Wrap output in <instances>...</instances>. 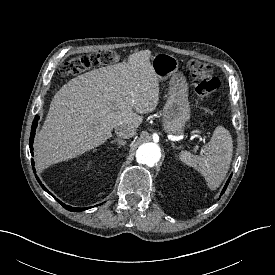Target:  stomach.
<instances>
[{
	"mask_svg": "<svg viewBox=\"0 0 275 275\" xmlns=\"http://www.w3.org/2000/svg\"><path fill=\"white\" fill-rule=\"evenodd\" d=\"M151 66L159 81L169 79V90L163 108V128L169 134H182L190 118L188 84L185 76L178 72V60L167 53H157L152 57Z\"/></svg>",
	"mask_w": 275,
	"mask_h": 275,
	"instance_id": "1",
	"label": "stomach"
}]
</instances>
